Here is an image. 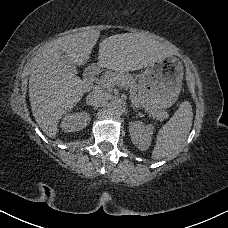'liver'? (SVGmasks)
<instances>
[{
	"label": "liver",
	"mask_w": 228,
	"mask_h": 228,
	"mask_svg": "<svg viewBox=\"0 0 228 228\" xmlns=\"http://www.w3.org/2000/svg\"><path fill=\"white\" fill-rule=\"evenodd\" d=\"M100 36V30L55 39L39 49L30 62L29 100L41 130L56 137L59 120L82 99L88 87L61 57L84 65ZM176 52L159 41L139 33L115 34L99 43L97 65L113 71L130 72L153 66Z\"/></svg>",
	"instance_id": "liver-1"
}]
</instances>
